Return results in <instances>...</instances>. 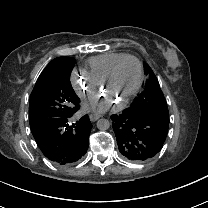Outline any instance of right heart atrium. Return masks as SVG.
Wrapping results in <instances>:
<instances>
[{
    "label": "right heart atrium",
    "mask_w": 208,
    "mask_h": 208,
    "mask_svg": "<svg viewBox=\"0 0 208 208\" xmlns=\"http://www.w3.org/2000/svg\"><path fill=\"white\" fill-rule=\"evenodd\" d=\"M70 83L75 93L81 99L96 100L99 84L88 73L79 74L72 70L70 74Z\"/></svg>",
    "instance_id": "d8ad5b80"
}]
</instances>
